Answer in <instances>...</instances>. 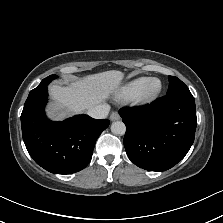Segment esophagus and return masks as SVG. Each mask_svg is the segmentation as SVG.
<instances>
[{
  "mask_svg": "<svg viewBox=\"0 0 223 223\" xmlns=\"http://www.w3.org/2000/svg\"><path fill=\"white\" fill-rule=\"evenodd\" d=\"M110 120L111 121H116V120H120V115L118 114V112H113L111 115H110Z\"/></svg>",
  "mask_w": 223,
  "mask_h": 223,
  "instance_id": "34e87169",
  "label": "esophagus"
}]
</instances>
